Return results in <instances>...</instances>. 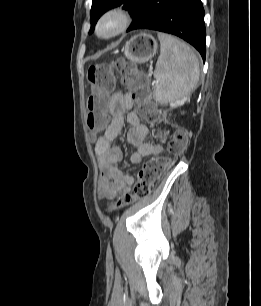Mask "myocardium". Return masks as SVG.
<instances>
[{"instance_id":"f54148a6","label":"myocardium","mask_w":261,"mask_h":306,"mask_svg":"<svg viewBox=\"0 0 261 306\" xmlns=\"http://www.w3.org/2000/svg\"><path fill=\"white\" fill-rule=\"evenodd\" d=\"M132 23L130 11L122 6H115L107 9L98 19L94 33L99 39H111L124 33ZM112 24L110 29H106Z\"/></svg>"}]
</instances>
